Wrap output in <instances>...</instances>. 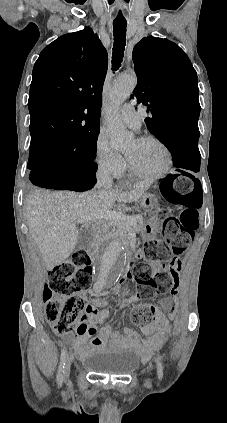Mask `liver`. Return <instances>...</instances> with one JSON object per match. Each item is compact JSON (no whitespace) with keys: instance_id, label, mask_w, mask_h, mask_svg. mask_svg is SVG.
<instances>
[{"instance_id":"1","label":"liver","mask_w":227,"mask_h":423,"mask_svg":"<svg viewBox=\"0 0 227 423\" xmlns=\"http://www.w3.org/2000/svg\"><path fill=\"white\" fill-rule=\"evenodd\" d=\"M149 182L133 184L129 192L120 190H90L76 192H46L35 190L25 200V215L29 233L46 263L53 269L72 253L79 237L78 223L97 221V213L109 211L115 202H137Z\"/></svg>"}]
</instances>
